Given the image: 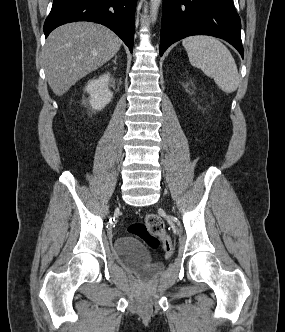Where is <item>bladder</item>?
I'll use <instances>...</instances> for the list:
<instances>
[{"mask_svg": "<svg viewBox=\"0 0 285 332\" xmlns=\"http://www.w3.org/2000/svg\"><path fill=\"white\" fill-rule=\"evenodd\" d=\"M113 254L123 267L144 277L152 276L162 268V264L153 261L150 253L133 236L118 237L114 242Z\"/></svg>", "mask_w": 285, "mask_h": 332, "instance_id": "obj_1", "label": "bladder"}]
</instances>
